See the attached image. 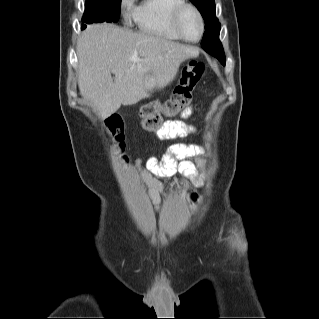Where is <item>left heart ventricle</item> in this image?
<instances>
[{
	"label": "left heart ventricle",
	"mask_w": 319,
	"mask_h": 319,
	"mask_svg": "<svg viewBox=\"0 0 319 319\" xmlns=\"http://www.w3.org/2000/svg\"><path fill=\"white\" fill-rule=\"evenodd\" d=\"M180 28L189 39H195L200 34V24L197 16L192 10H186L180 19Z\"/></svg>",
	"instance_id": "1"
}]
</instances>
